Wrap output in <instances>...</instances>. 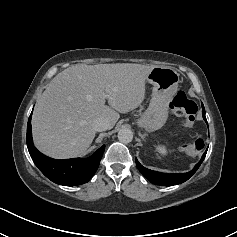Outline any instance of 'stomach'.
<instances>
[{
	"instance_id": "stomach-1",
	"label": "stomach",
	"mask_w": 237,
	"mask_h": 237,
	"mask_svg": "<svg viewBox=\"0 0 237 237\" xmlns=\"http://www.w3.org/2000/svg\"><path fill=\"white\" fill-rule=\"evenodd\" d=\"M146 80L153 85L152 97L149 107L136 123L145 131L153 132L162 128L167 121L168 103L178 87L179 74L171 67L155 66Z\"/></svg>"
}]
</instances>
